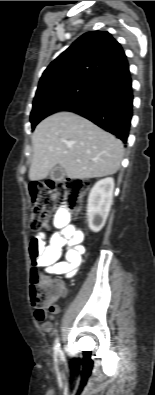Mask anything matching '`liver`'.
Here are the masks:
<instances>
[{"instance_id":"liver-1","label":"liver","mask_w":155,"mask_h":395,"mask_svg":"<svg viewBox=\"0 0 155 395\" xmlns=\"http://www.w3.org/2000/svg\"><path fill=\"white\" fill-rule=\"evenodd\" d=\"M32 143L31 181L46 178L57 165L71 179L113 175L124 154L119 139L71 112H58L42 120L34 130Z\"/></svg>"}]
</instances>
